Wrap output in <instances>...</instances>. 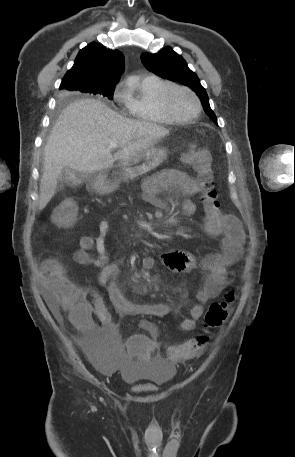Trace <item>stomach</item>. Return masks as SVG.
I'll use <instances>...</instances> for the list:
<instances>
[{
    "mask_svg": "<svg viewBox=\"0 0 295 457\" xmlns=\"http://www.w3.org/2000/svg\"><path fill=\"white\" fill-rule=\"evenodd\" d=\"M168 155V149L152 146L128 160L96 173L93 188L101 194L111 193L119 187L122 180H132L158 167Z\"/></svg>",
    "mask_w": 295,
    "mask_h": 457,
    "instance_id": "obj_1",
    "label": "stomach"
}]
</instances>
